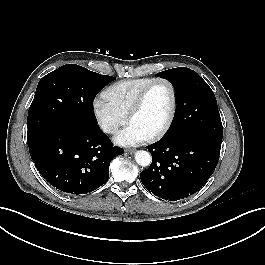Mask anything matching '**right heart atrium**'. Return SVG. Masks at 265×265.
I'll return each mask as SVG.
<instances>
[{
    "label": "right heart atrium",
    "instance_id": "right-heart-atrium-1",
    "mask_svg": "<svg viewBox=\"0 0 265 265\" xmlns=\"http://www.w3.org/2000/svg\"><path fill=\"white\" fill-rule=\"evenodd\" d=\"M92 110L97 125L106 134H115L127 122V116L120 113L104 98L95 99Z\"/></svg>",
    "mask_w": 265,
    "mask_h": 265
}]
</instances>
